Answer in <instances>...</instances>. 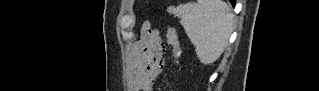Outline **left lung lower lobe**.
Segmentation results:
<instances>
[{"instance_id": "1", "label": "left lung lower lobe", "mask_w": 319, "mask_h": 91, "mask_svg": "<svg viewBox=\"0 0 319 91\" xmlns=\"http://www.w3.org/2000/svg\"><path fill=\"white\" fill-rule=\"evenodd\" d=\"M233 6H235V0H229Z\"/></svg>"}]
</instances>
